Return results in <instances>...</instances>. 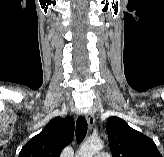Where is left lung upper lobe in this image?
<instances>
[{
  "instance_id": "5c2ea615",
  "label": "left lung upper lobe",
  "mask_w": 164,
  "mask_h": 157,
  "mask_svg": "<svg viewBox=\"0 0 164 157\" xmlns=\"http://www.w3.org/2000/svg\"><path fill=\"white\" fill-rule=\"evenodd\" d=\"M106 131L113 157H162L152 139L121 118H109Z\"/></svg>"
}]
</instances>
